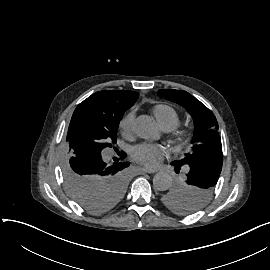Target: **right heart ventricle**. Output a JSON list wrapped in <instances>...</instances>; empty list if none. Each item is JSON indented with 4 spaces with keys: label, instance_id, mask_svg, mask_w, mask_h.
Here are the masks:
<instances>
[{
    "label": "right heart ventricle",
    "instance_id": "obj_1",
    "mask_svg": "<svg viewBox=\"0 0 270 270\" xmlns=\"http://www.w3.org/2000/svg\"><path fill=\"white\" fill-rule=\"evenodd\" d=\"M153 113L159 126L162 122H172L177 126L181 120L177 110L166 103L157 104L153 108Z\"/></svg>",
    "mask_w": 270,
    "mask_h": 270
}]
</instances>
